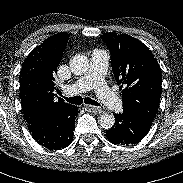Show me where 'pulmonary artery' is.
<instances>
[{"label": "pulmonary artery", "mask_w": 183, "mask_h": 183, "mask_svg": "<svg viewBox=\"0 0 183 183\" xmlns=\"http://www.w3.org/2000/svg\"><path fill=\"white\" fill-rule=\"evenodd\" d=\"M109 63V54L105 51L94 50L91 55L90 68L86 74L74 83L65 87L66 94H78L94 89L101 102L111 110L122 108V101L107 86L104 75Z\"/></svg>", "instance_id": "e3ab8cb5"}]
</instances>
